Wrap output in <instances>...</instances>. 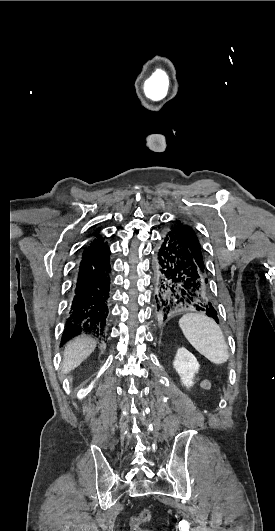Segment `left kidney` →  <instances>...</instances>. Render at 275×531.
Masks as SVG:
<instances>
[{
  "mask_svg": "<svg viewBox=\"0 0 275 531\" xmlns=\"http://www.w3.org/2000/svg\"><path fill=\"white\" fill-rule=\"evenodd\" d=\"M173 365L181 379L182 385L184 387H192L194 385L193 379L200 367L196 357L182 347V349H178Z\"/></svg>",
  "mask_w": 275,
  "mask_h": 531,
  "instance_id": "1",
  "label": "left kidney"
}]
</instances>
